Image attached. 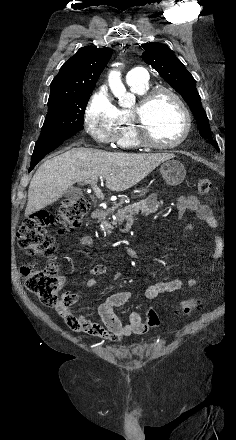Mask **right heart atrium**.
<instances>
[{
    "instance_id": "1",
    "label": "right heart atrium",
    "mask_w": 236,
    "mask_h": 440,
    "mask_svg": "<svg viewBox=\"0 0 236 440\" xmlns=\"http://www.w3.org/2000/svg\"><path fill=\"white\" fill-rule=\"evenodd\" d=\"M87 133L99 144L116 143L117 109L104 86L89 97L83 114Z\"/></svg>"
}]
</instances>
